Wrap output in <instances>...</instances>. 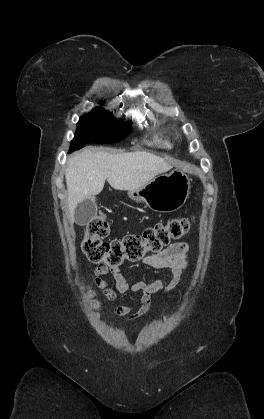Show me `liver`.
Instances as JSON below:
<instances>
[{
  "label": "liver",
  "instance_id": "obj_1",
  "mask_svg": "<svg viewBox=\"0 0 264 419\" xmlns=\"http://www.w3.org/2000/svg\"><path fill=\"white\" fill-rule=\"evenodd\" d=\"M171 167L164 158L146 151L110 154L86 148L71 156L65 170L70 221L76 206L99 194L106 180L116 190H136Z\"/></svg>",
  "mask_w": 264,
  "mask_h": 419
}]
</instances>
